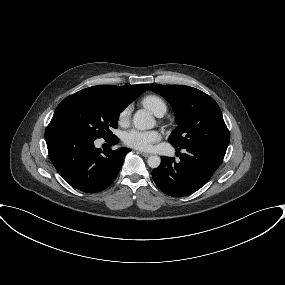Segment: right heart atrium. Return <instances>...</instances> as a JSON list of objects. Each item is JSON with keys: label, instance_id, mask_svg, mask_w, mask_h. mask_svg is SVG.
Returning <instances> with one entry per match:
<instances>
[{"label": "right heart atrium", "instance_id": "d8ad5b80", "mask_svg": "<svg viewBox=\"0 0 285 285\" xmlns=\"http://www.w3.org/2000/svg\"><path fill=\"white\" fill-rule=\"evenodd\" d=\"M130 113H131V107L130 106H127L126 108H124L119 114V118H118L119 123L125 124L129 120Z\"/></svg>", "mask_w": 285, "mask_h": 285}]
</instances>
